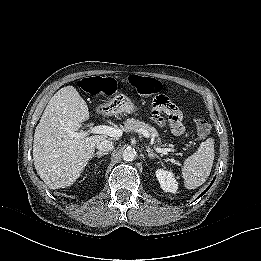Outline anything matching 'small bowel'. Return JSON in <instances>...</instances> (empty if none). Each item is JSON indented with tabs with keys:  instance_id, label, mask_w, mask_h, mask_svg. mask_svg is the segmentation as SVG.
<instances>
[{
	"instance_id": "small-bowel-1",
	"label": "small bowel",
	"mask_w": 261,
	"mask_h": 261,
	"mask_svg": "<svg viewBox=\"0 0 261 261\" xmlns=\"http://www.w3.org/2000/svg\"><path fill=\"white\" fill-rule=\"evenodd\" d=\"M153 117L154 119L160 124V125H164V120L162 118H160L156 113L155 111H153Z\"/></svg>"
}]
</instances>
